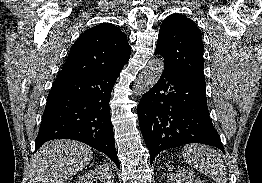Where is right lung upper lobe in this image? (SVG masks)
<instances>
[{
	"mask_svg": "<svg viewBox=\"0 0 262 183\" xmlns=\"http://www.w3.org/2000/svg\"><path fill=\"white\" fill-rule=\"evenodd\" d=\"M130 54L127 36L114 24L101 23L72 45L60 76L120 71Z\"/></svg>",
	"mask_w": 262,
	"mask_h": 183,
	"instance_id": "1",
	"label": "right lung upper lobe"
}]
</instances>
